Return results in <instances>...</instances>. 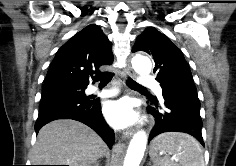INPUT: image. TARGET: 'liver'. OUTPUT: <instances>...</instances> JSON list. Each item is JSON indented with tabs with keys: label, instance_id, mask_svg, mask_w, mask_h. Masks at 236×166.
Segmentation results:
<instances>
[{
	"label": "liver",
	"instance_id": "6515ba94",
	"mask_svg": "<svg viewBox=\"0 0 236 166\" xmlns=\"http://www.w3.org/2000/svg\"><path fill=\"white\" fill-rule=\"evenodd\" d=\"M106 152L104 141L88 126L60 119L40 129L31 162L33 165L93 166Z\"/></svg>",
	"mask_w": 236,
	"mask_h": 166
}]
</instances>
